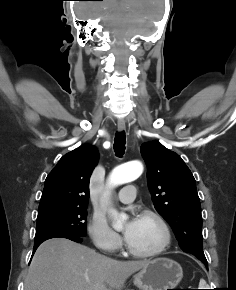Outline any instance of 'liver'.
Returning <instances> with one entry per match:
<instances>
[{
    "label": "liver",
    "mask_w": 236,
    "mask_h": 290,
    "mask_svg": "<svg viewBox=\"0 0 236 290\" xmlns=\"http://www.w3.org/2000/svg\"><path fill=\"white\" fill-rule=\"evenodd\" d=\"M148 260L118 261L65 238L43 242L31 261L25 290H121Z\"/></svg>",
    "instance_id": "obj_1"
}]
</instances>
